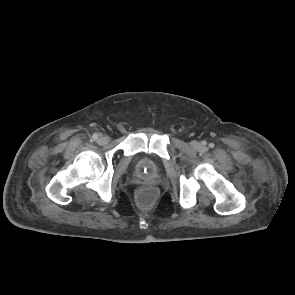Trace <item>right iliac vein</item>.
Masks as SVG:
<instances>
[{
    "instance_id": "obj_1",
    "label": "right iliac vein",
    "mask_w": 295,
    "mask_h": 295,
    "mask_svg": "<svg viewBox=\"0 0 295 295\" xmlns=\"http://www.w3.org/2000/svg\"><path fill=\"white\" fill-rule=\"evenodd\" d=\"M109 142L108 136H101L98 140V143L101 145L107 144Z\"/></svg>"
}]
</instances>
